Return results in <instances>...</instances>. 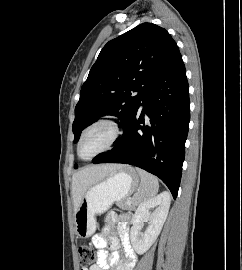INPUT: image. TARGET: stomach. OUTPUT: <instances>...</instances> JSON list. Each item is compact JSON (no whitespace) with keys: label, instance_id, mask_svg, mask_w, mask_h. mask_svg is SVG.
I'll return each instance as SVG.
<instances>
[{"label":"stomach","instance_id":"0dacf381","mask_svg":"<svg viewBox=\"0 0 242 270\" xmlns=\"http://www.w3.org/2000/svg\"><path fill=\"white\" fill-rule=\"evenodd\" d=\"M139 186L137 172L124 166L108 175L103 181L91 186L75 212V233L88 238L96 230V215L104 213L114 202L123 201Z\"/></svg>","mask_w":242,"mask_h":270}]
</instances>
